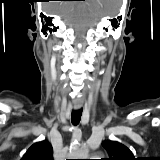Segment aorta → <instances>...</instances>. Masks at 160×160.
Instances as JSON below:
<instances>
[{"instance_id": "1", "label": "aorta", "mask_w": 160, "mask_h": 160, "mask_svg": "<svg viewBox=\"0 0 160 160\" xmlns=\"http://www.w3.org/2000/svg\"><path fill=\"white\" fill-rule=\"evenodd\" d=\"M69 159H88V149L83 146H73L69 152Z\"/></svg>"}]
</instances>
